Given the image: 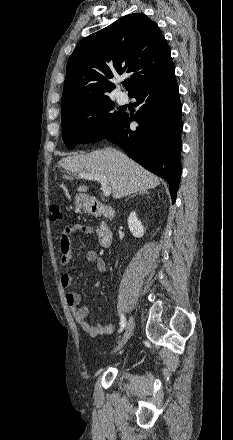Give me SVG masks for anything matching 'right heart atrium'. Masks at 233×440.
I'll list each match as a JSON object with an SVG mask.
<instances>
[{
  "label": "right heart atrium",
  "mask_w": 233,
  "mask_h": 440,
  "mask_svg": "<svg viewBox=\"0 0 233 440\" xmlns=\"http://www.w3.org/2000/svg\"><path fill=\"white\" fill-rule=\"evenodd\" d=\"M91 126L94 127V128L98 126V119L96 117L92 118Z\"/></svg>",
  "instance_id": "d8ad5b80"
}]
</instances>
